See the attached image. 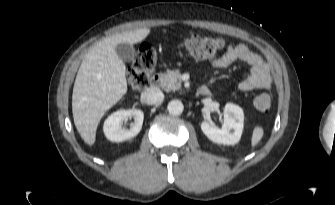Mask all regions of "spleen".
<instances>
[{
    "label": "spleen",
    "mask_w": 335,
    "mask_h": 205,
    "mask_svg": "<svg viewBox=\"0 0 335 205\" xmlns=\"http://www.w3.org/2000/svg\"><path fill=\"white\" fill-rule=\"evenodd\" d=\"M264 134L263 128L260 126H256L253 130L252 133V138H251V145L252 147L256 146L260 140L262 139Z\"/></svg>",
    "instance_id": "3e777b00"
}]
</instances>
